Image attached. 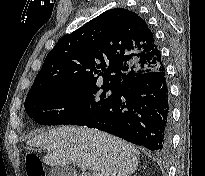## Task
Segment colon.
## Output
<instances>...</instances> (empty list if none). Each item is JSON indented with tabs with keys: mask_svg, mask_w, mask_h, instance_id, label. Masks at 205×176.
<instances>
[{
	"mask_svg": "<svg viewBox=\"0 0 205 176\" xmlns=\"http://www.w3.org/2000/svg\"><path fill=\"white\" fill-rule=\"evenodd\" d=\"M24 164L27 176H45L44 165L35 153L27 152L24 155Z\"/></svg>",
	"mask_w": 205,
	"mask_h": 176,
	"instance_id": "obj_1",
	"label": "colon"
}]
</instances>
